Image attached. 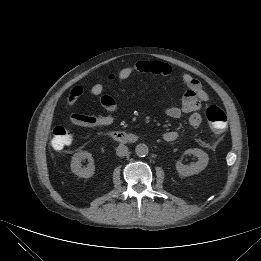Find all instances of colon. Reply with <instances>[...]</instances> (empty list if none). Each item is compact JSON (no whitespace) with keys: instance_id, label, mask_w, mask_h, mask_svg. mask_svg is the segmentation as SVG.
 Listing matches in <instances>:
<instances>
[{"instance_id":"5ec220e1","label":"colon","mask_w":261,"mask_h":261,"mask_svg":"<svg viewBox=\"0 0 261 261\" xmlns=\"http://www.w3.org/2000/svg\"><path fill=\"white\" fill-rule=\"evenodd\" d=\"M205 118L215 134H222L227 126V117L224 111L216 105H209L204 111ZM73 133L63 126L53 129L51 145L54 149L61 150L73 142Z\"/></svg>"}]
</instances>
